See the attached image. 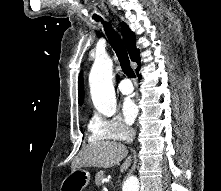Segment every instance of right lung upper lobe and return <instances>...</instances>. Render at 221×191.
<instances>
[{
    "label": "right lung upper lobe",
    "mask_w": 221,
    "mask_h": 191,
    "mask_svg": "<svg viewBox=\"0 0 221 191\" xmlns=\"http://www.w3.org/2000/svg\"><path fill=\"white\" fill-rule=\"evenodd\" d=\"M121 28H122L124 44L128 50L129 56L132 61L137 62V64L140 66L139 50L136 48L135 45L136 44L135 34L130 30L128 25L124 22H122ZM78 93H79V104L82 105L84 99V83H83L82 73L80 74L78 80Z\"/></svg>",
    "instance_id": "cb5924a9"
}]
</instances>
